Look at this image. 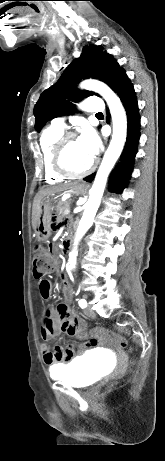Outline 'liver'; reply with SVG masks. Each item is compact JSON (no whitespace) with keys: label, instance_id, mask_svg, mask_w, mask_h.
I'll use <instances>...</instances> for the list:
<instances>
[{"label":"liver","instance_id":"obj_1","mask_svg":"<svg viewBox=\"0 0 165 461\" xmlns=\"http://www.w3.org/2000/svg\"><path fill=\"white\" fill-rule=\"evenodd\" d=\"M74 184L72 185H65V186H53V187H48L46 189L40 190L38 194L35 196L34 201H33V207H32V227L33 229H36L37 224L39 222L40 218V213H41V204L43 199L46 196L50 195H55L56 193H60L64 190H67L69 188H72Z\"/></svg>","mask_w":165,"mask_h":461}]
</instances>
